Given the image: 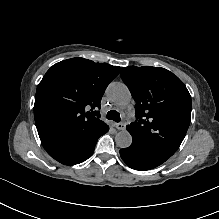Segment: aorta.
I'll return each instance as SVG.
<instances>
[{
    "mask_svg": "<svg viewBox=\"0 0 219 219\" xmlns=\"http://www.w3.org/2000/svg\"><path fill=\"white\" fill-rule=\"evenodd\" d=\"M107 96L117 105L126 106L131 101V93L121 82H112L106 90ZM115 143L120 148H127L132 144V136L127 130L119 131L115 136Z\"/></svg>",
    "mask_w": 219,
    "mask_h": 219,
    "instance_id": "762f6f07",
    "label": "aorta"
}]
</instances>
